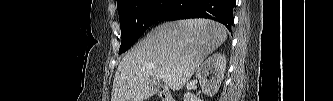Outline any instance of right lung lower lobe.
Wrapping results in <instances>:
<instances>
[{
    "mask_svg": "<svg viewBox=\"0 0 333 101\" xmlns=\"http://www.w3.org/2000/svg\"><path fill=\"white\" fill-rule=\"evenodd\" d=\"M236 0H169L158 22L186 18H209L231 31Z\"/></svg>",
    "mask_w": 333,
    "mask_h": 101,
    "instance_id": "right-lung-lower-lobe-1",
    "label": "right lung lower lobe"
}]
</instances>
